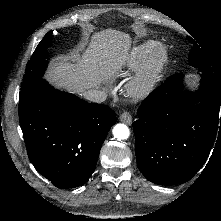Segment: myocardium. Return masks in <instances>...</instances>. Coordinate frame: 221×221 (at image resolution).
I'll list each match as a JSON object with an SVG mask.
<instances>
[{"mask_svg":"<svg viewBox=\"0 0 221 221\" xmlns=\"http://www.w3.org/2000/svg\"><path fill=\"white\" fill-rule=\"evenodd\" d=\"M168 52L164 45H156L151 54L141 64L128 86L132 97L141 98L149 94L157 84L167 62Z\"/></svg>","mask_w":221,"mask_h":221,"instance_id":"f54148a6","label":"myocardium"}]
</instances>
